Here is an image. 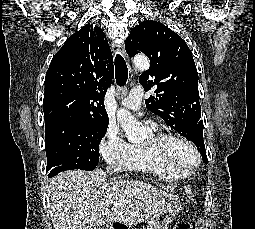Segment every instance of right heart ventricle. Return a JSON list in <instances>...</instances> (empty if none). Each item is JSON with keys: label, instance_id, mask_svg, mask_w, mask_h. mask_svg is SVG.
<instances>
[{"label": "right heart ventricle", "instance_id": "obj_1", "mask_svg": "<svg viewBox=\"0 0 255 229\" xmlns=\"http://www.w3.org/2000/svg\"><path fill=\"white\" fill-rule=\"evenodd\" d=\"M124 168L136 172L154 174L169 180L184 178L191 173L187 171L170 170L163 162L150 152L145 144L130 145Z\"/></svg>", "mask_w": 255, "mask_h": 229}]
</instances>
